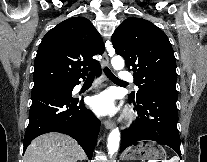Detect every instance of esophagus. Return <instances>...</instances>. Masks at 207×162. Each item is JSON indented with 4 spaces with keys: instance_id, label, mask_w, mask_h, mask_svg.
Instances as JSON below:
<instances>
[{
    "instance_id": "1",
    "label": "esophagus",
    "mask_w": 207,
    "mask_h": 162,
    "mask_svg": "<svg viewBox=\"0 0 207 162\" xmlns=\"http://www.w3.org/2000/svg\"><path fill=\"white\" fill-rule=\"evenodd\" d=\"M105 47H106V51L103 55V64H104V66H109L108 51L112 48V44L109 40L106 41ZM104 126H105L106 129H112L113 123L110 120H105L104 121Z\"/></svg>"
}]
</instances>
